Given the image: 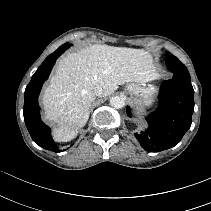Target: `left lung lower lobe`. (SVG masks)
Returning <instances> with one entry per match:
<instances>
[{"label":"left lung lower lobe","mask_w":211,"mask_h":211,"mask_svg":"<svg viewBox=\"0 0 211 211\" xmlns=\"http://www.w3.org/2000/svg\"><path fill=\"white\" fill-rule=\"evenodd\" d=\"M194 90L190 75L174 74L164 81L159 92V106L147 117L149 127L135 133L140 145L148 152H158L176 146L191 126L194 110ZM130 107L127 115L131 117Z\"/></svg>","instance_id":"left-lung-lower-lobe-1"}]
</instances>
